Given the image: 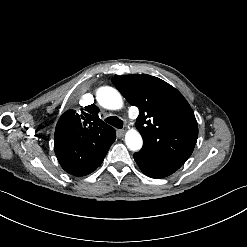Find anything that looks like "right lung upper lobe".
Listing matches in <instances>:
<instances>
[{
  "label": "right lung upper lobe",
  "mask_w": 247,
  "mask_h": 247,
  "mask_svg": "<svg viewBox=\"0 0 247 247\" xmlns=\"http://www.w3.org/2000/svg\"><path fill=\"white\" fill-rule=\"evenodd\" d=\"M99 108L86 106L82 114L66 111L55 129V154L61 166H80L104 157L115 141L114 128L102 121Z\"/></svg>",
  "instance_id": "1"
}]
</instances>
